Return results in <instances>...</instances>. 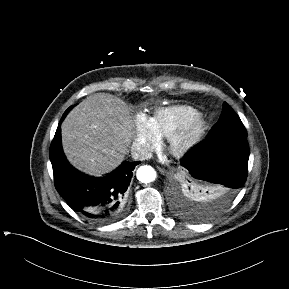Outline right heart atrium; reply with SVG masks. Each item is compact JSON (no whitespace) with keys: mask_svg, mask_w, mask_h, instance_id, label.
<instances>
[{"mask_svg":"<svg viewBox=\"0 0 289 289\" xmlns=\"http://www.w3.org/2000/svg\"><path fill=\"white\" fill-rule=\"evenodd\" d=\"M133 147L140 156L146 157L160 147V139L152 130L150 119L143 113L134 118Z\"/></svg>","mask_w":289,"mask_h":289,"instance_id":"right-heart-atrium-1","label":"right heart atrium"}]
</instances>
